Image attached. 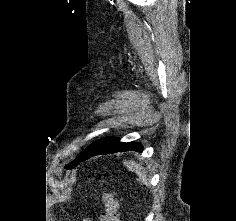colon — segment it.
Here are the masks:
<instances>
[{"instance_id":"colon-1","label":"colon","mask_w":236,"mask_h":221,"mask_svg":"<svg viewBox=\"0 0 236 221\" xmlns=\"http://www.w3.org/2000/svg\"><path fill=\"white\" fill-rule=\"evenodd\" d=\"M103 212L100 221H120L119 203L113 192H106L102 196Z\"/></svg>"}]
</instances>
